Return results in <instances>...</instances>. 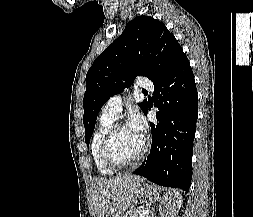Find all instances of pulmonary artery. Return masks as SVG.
I'll use <instances>...</instances> for the list:
<instances>
[{
	"instance_id": "pulmonary-artery-1",
	"label": "pulmonary artery",
	"mask_w": 253,
	"mask_h": 217,
	"mask_svg": "<svg viewBox=\"0 0 253 217\" xmlns=\"http://www.w3.org/2000/svg\"><path fill=\"white\" fill-rule=\"evenodd\" d=\"M139 87L144 90L153 91V84L149 80H141ZM122 110V98L121 95H115L108 99L102 108V114L117 118Z\"/></svg>"
}]
</instances>
